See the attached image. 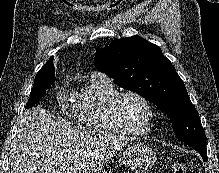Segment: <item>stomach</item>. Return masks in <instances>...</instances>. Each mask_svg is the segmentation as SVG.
<instances>
[{
	"label": "stomach",
	"mask_w": 219,
	"mask_h": 173,
	"mask_svg": "<svg viewBox=\"0 0 219 173\" xmlns=\"http://www.w3.org/2000/svg\"><path fill=\"white\" fill-rule=\"evenodd\" d=\"M120 165L128 168L131 173H144L156 162V154L152 148L140 142L129 144L121 153ZM101 173H110L102 170Z\"/></svg>",
	"instance_id": "stomach-1"
}]
</instances>
